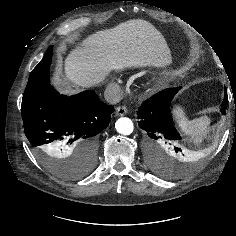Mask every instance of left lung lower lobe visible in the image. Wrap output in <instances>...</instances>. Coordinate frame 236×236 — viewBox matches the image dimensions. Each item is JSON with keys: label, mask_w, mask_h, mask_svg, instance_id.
I'll use <instances>...</instances> for the list:
<instances>
[{"label": "left lung lower lobe", "mask_w": 236, "mask_h": 236, "mask_svg": "<svg viewBox=\"0 0 236 236\" xmlns=\"http://www.w3.org/2000/svg\"><path fill=\"white\" fill-rule=\"evenodd\" d=\"M181 89H165L148 100H146L138 109L137 115L140 121L138 125L145 131L146 141L148 143V158L151 164H156L160 160L159 149L156 144H169L176 153L181 149L175 144L181 139V136L175 129L174 122L170 115V104L175 94ZM228 96L224 92V100L220 111L225 114L227 109Z\"/></svg>", "instance_id": "1"}]
</instances>
